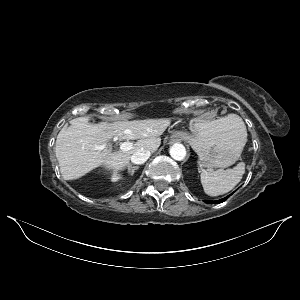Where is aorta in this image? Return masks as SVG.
Here are the masks:
<instances>
[{
	"label": "aorta",
	"mask_w": 300,
	"mask_h": 300,
	"mask_svg": "<svg viewBox=\"0 0 300 300\" xmlns=\"http://www.w3.org/2000/svg\"><path fill=\"white\" fill-rule=\"evenodd\" d=\"M169 153L173 159L181 161L186 156V149L184 145L180 143H175L170 147Z\"/></svg>",
	"instance_id": "aorta-1"
}]
</instances>
